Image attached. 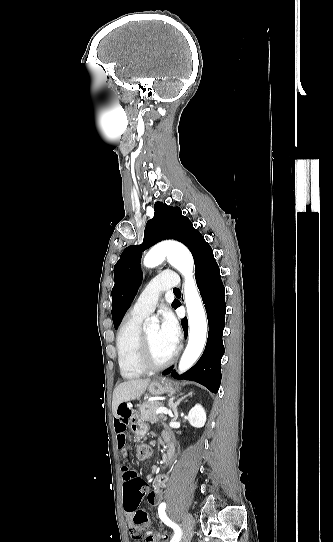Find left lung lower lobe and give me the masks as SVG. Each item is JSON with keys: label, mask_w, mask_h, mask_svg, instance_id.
Masks as SVG:
<instances>
[{"label": "left lung lower lobe", "mask_w": 333, "mask_h": 542, "mask_svg": "<svg viewBox=\"0 0 333 542\" xmlns=\"http://www.w3.org/2000/svg\"><path fill=\"white\" fill-rule=\"evenodd\" d=\"M195 278L200 290L209 324V333L205 350L198 362L187 372L179 376L173 367L163 374L172 372L176 379L192 380L217 393L221 383V358L224 354L223 330L225 322V293L220 270L213 255V250L206 242L202 245L195 262ZM181 303L175 300V308ZM185 333L188 334L187 318L181 320Z\"/></svg>", "instance_id": "0a47b994"}]
</instances>
